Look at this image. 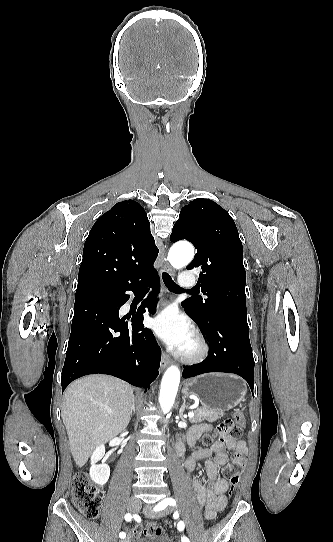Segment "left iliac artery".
Segmentation results:
<instances>
[{
  "label": "left iliac artery",
  "mask_w": 333,
  "mask_h": 542,
  "mask_svg": "<svg viewBox=\"0 0 333 542\" xmlns=\"http://www.w3.org/2000/svg\"><path fill=\"white\" fill-rule=\"evenodd\" d=\"M175 500L172 498H166L163 501H161L157 506H155V511H160L164 509L167 505H175ZM185 525L183 521H180L177 525V528L182 531L184 529ZM182 542H190L189 539L185 536L181 538Z\"/></svg>",
  "instance_id": "obj_1"
}]
</instances>
